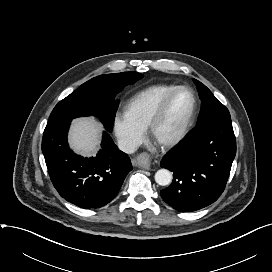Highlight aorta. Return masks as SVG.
I'll return each mask as SVG.
<instances>
[{"label":"aorta","instance_id":"1","mask_svg":"<svg viewBox=\"0 0 272 272\" xmlns=\"http://www.w3.org/2000/svg\"><path fill=\"white\" fill-rule=\"evenodd\" d=\"M155 181L161 186H166L172 181V174L167 169H160L155 173Z\"/></svg>","mask_w":272,"mask_h":272}]
</instances>
